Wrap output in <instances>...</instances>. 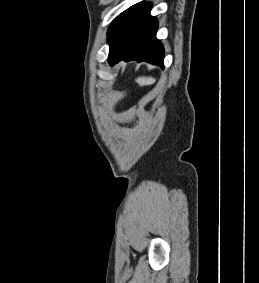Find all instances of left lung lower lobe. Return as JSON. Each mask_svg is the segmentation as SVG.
<instances>
[{"instance_id":"left-lung-lower-lobe-1","label":"left lung lower lobe","mask_w":259,"mask_h":283,"mask_svg":"<svg viewBox=\"0 0 259 283\" xmlns=\"http://www.w3.org/2000/svg\"><path fill=\"white\" fill-rule=\"evenodd\" d=\"M151 4L140 3L118 15L108 29L109 64L147 61L163 65L164 48L156 38L158 21L150 15Z\"/></svg>"}]
</instances>
